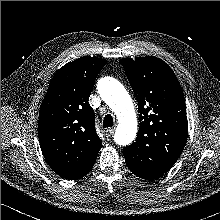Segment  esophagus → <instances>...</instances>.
I'll return each mask as SVG.
<instances>
[{"mask_svg": "<svg viewBox=\"0 0 220 220\" xmlns=\"http://www.w3.org/2000/svg\"><path fill=\"white\" fill-rule=\"evenodd\" d=\"M115 131V127H111L109 129L106 130V135L107 137H110Z\"/></svg>", "mask_w": 220, "mask_h": 220, "instance_id": "34e87169", "label": "esophagus"}]
</instances>
